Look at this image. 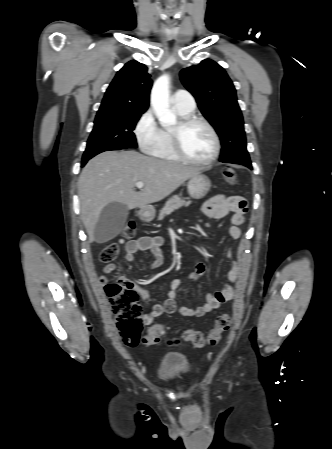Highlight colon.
I'll list each match as a JSON object with an SVG mask.
<instances>
[{
    "mask_svg": "<svg viewBox=\"0 0 332 449\" xmlns=\"http://www.w3.org/2000/svg\"><path fill=\"white\" fill-rule=\"evenodd\" d=\"M223 178L229 184L236 182V171L232 166H225L222 171ZM136 233L134 222H128L123 228L124 238H132ZM123 240L109 243L99 253V261L112 262L119 253ZM105 293L112 304V312L116 317L118 330L127 346L135 347L139 344L152 345L165 335L166 330L162 325H154L143 335L142 308L138 302V294L131 283L118 280L105 283ZM231 319L227 314L217 317L214 327L205 336L196 330H186L182 334L184 341L190 342L196 347L215 345L222 335L230 328Z\"/></svg>",
    "mask_w": 332,
    "mask_h": 449,
    "instance_id": "1",
    "label": "colon"
}]
</instances>
